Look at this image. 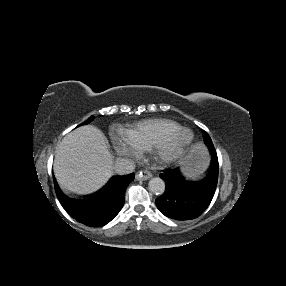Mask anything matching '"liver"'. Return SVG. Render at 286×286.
<instances>
[{
  "instance_id": "liver-1",
  "label": "liver",
  "mask_w": 286,
  "mask_h": 286,
  "mask_svg": "<svg viewBox=\"0 0 286 286\" xmlns=\"http://www.w3.org/2000/svg\"><path fill=\"white\" fill-rule=\"evenodd\" d=\"M54 174L66 192L89 194L113 175V156L101 130L85 125L67 134L56 150Z\"/></svg>"
}]
</instances>
